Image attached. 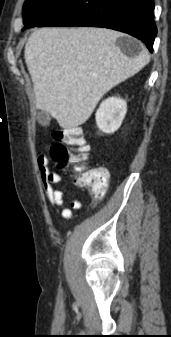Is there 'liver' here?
Wrapping results in <instances>:
<instances>
[{
    "label": "liver",
    "mask_w": 171,
    "mask_h": 337,
    "mask_svg": "<svg viewBox=\"0 0 171 337\" xmlns=\"http://www.w3.org/2000/svg\"><path fill=\"white\" fill-rule=\"evenodd\" d=\"M127 35L101 28H41L25 46L36 105L62 128L84 124L100 99L150 61L144 45L126 56L116 40Z\"/></svg>",
    "instance_id": "liver-1"
}]
</instances>
